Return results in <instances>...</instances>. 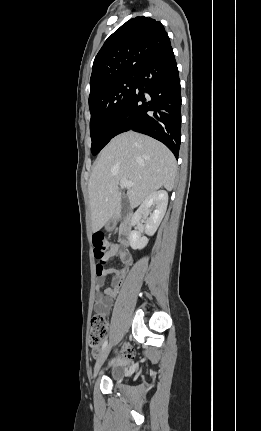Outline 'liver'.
I'll return each instance as SVG.
<instances>
[{"mask_svg": "<svg viewBox=\"0 0 261 431\" xmlns=\"http://www.w3.org/2000/svg\"><path fill=\"white\" fill-rule=\"evenodd\" d=\"M176 173L174 155L159 141L133 131L114 137L100 152L88 183L93 232L119 210L121 179L134 183L127 198L137 207L161 187L171 191Z\"/></svg>", "mask_w": 261, "mask_h": 431, "instance_id": "obj_1", "label": "liver"}]
</instances>
